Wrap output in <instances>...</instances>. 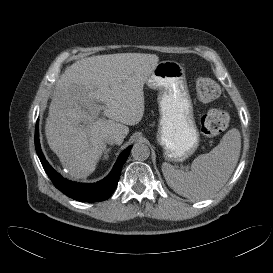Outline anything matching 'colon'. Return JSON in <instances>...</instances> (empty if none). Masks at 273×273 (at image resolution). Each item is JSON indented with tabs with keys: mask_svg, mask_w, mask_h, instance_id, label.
<instances>
[{
	"mask_svg": "<svg viewBox=\"0 0 273 273\" xmlns=\"http://www.w3.org/2000/svg\"><path fill=\"white\" fill-rule=\"evenodd\" d=\"M194 90L202 101H211L218 97L220 88L215 81L207 77H198L194 82ZM228 125L225 111L212 109L201 120V131L204 135L214 137L221 134Z\"/></svg>",
	"mask_w": 273,
	"mask_h": 273,
	"instance_id": "5ec220e1",
	"label": "colon"
}]
</instances>
